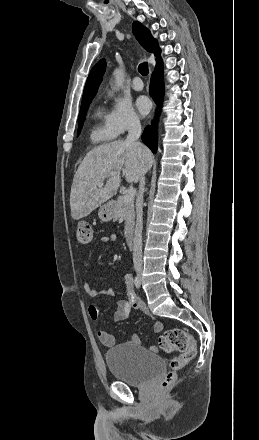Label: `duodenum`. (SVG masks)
I'll use <instances>...</instances> for the list:
<instances>
[{
    "mask_svg": "<svg viewBox=\"0 0 259 440\" xmlns=\"http://www.w3.org/2000/svg\"><path fill=\"white\" fill-rule=\"evenodd\" d=\"M126 243L129 247L133 245V233L131 231L126 234Z\"/></svg>",
    "mask_w": 259,
    "mask_h": 440,
    "instance_id": "duodenum-1",
    "label": "duodenum"
}]
</instances>
